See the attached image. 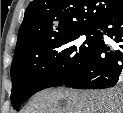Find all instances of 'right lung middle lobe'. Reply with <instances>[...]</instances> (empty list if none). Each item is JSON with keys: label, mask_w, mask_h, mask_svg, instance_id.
Segmentation results:
<instances>
[{"label": "right lung middle lobe", "mask_w": 123, "mask_h": 113, "mask_svg": "<svg viewBox=\"0 0 123 113\" xmlns=\"http://www.w3.org/2000/svg\"><path fill=\"white\" fill-rule=\"evenodd\" d=\"M98 27L69 30L17 46L11 65V103L21 104L36 92L75 79L101 42Z\"/></svg>", "instance_id": "1"}]
</instances>
